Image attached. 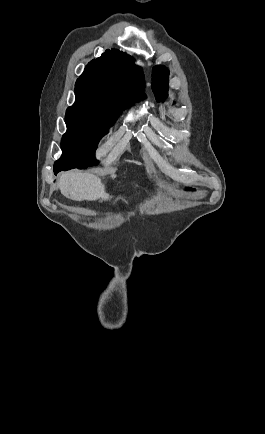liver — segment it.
<instances>
[{
  "label": "liver",
  "instance_id": "liver-1",
  "mask_svg": "<svg viewBox=\"0 0 265 434\" xmlns=\"http://www.w3.org/2000/svg\"><path fill=\"white\" fill-rule=\"evenodd\" d=\"M60 192L69 200H108L109 194L105 192V186L100 178L94 174H84V172H63L59 178Z\"/></svg>",
  "mask_w": 265,
  "mask_h": 434
}]
</instances>
